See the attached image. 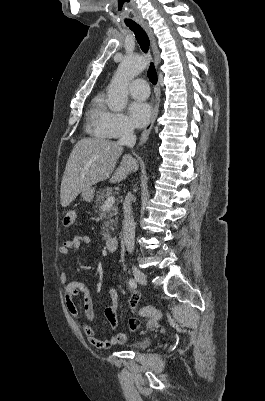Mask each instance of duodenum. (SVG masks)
I'll list each match as a JSON object with an SVG mask.
<instances>
[{
  "mask_svg": "<svg viewBox=\"0 0 265 401\" xmlns=\"http://www.w3.org/2000/svg\"><path fill=\"white\" fill-rule=\"evenodd\" d=\"M106 249L110 252H114L118 247V239L116 236H109L105 240Z\"/></svg>",
  "mask_w": 265,
  "mask_h": 401,
  "instance_id": "obj_1",
  "label": "duodenum"
}]
</instances>
